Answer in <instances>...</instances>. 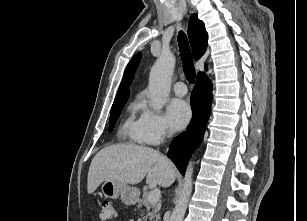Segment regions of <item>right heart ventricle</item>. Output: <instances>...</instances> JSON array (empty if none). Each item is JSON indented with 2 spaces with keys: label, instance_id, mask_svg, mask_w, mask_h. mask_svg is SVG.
<instances>
[{
  "label": "right heart ventricle",
  "instance_id": "right-heart-ventricle-1",
  "mask_svg": "<svg viewBox=\"0 0 307 221\" xmlns=\"http://www.w3.org/2000/svg\"><path fill=\"white\" fill-rule=\"evenodd\" d=\"M140 106V103L137 101L130 104L129 114L120 127L119 133L122 137L132 142L145 144L146 141L143 136L141 120L136 116V112Z\"/></svg>",
  "mask_w": 307,
  "mask_h": 221
}]
</instances>
